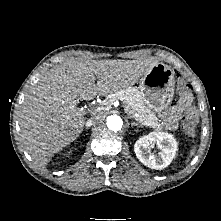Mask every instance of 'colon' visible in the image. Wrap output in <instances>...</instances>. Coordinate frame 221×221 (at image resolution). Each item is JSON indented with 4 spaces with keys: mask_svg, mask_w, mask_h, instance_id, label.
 I'll use <instances>...</instances> for the list:
<instances>
[{
    "mask_svg": "<svg viewBox=\"0 0 221 221\" xmlns=\"http://www.w3.org/2000/svg\"><path fill=\"white\" fill-rule=\"evenodd\" d=\"M176 81H177V88L182 94V97H185L187 99L191 98V88L188 83H186L182 76L178 74L176 76ZM182 129L185 134L189 136L194 135L195 131V115L193 113H187L183 118H182Z\"/></svg>",
    "mask_w": 221,
    "mask_h": 221,
    "instance_id": "colon-1",
    "label": "colon"
}]
</instances>
